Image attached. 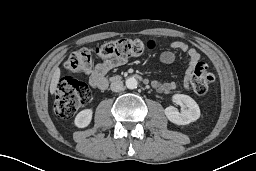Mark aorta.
<instances>
[{"label": "aorta", "instance_id": "762f6f07", "mask_svg": "<svg viewBox=\"0 0 256 171\" xmlns=\"http://www.w3.org/2000/svg\"><path fill=\"white\" fill-rule=\"evenodd\" d=\"M125 83L128 89H136L138 86V82L134 77L126 79Z\"/></svg>", "mask_w": 256, "mask_h": 171}]
</instances>
